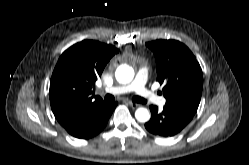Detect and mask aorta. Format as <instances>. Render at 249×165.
<instances>
[{
	"label": "aorta",
	"instance_id": "762f6f07",
	"mask_svg": "<svg viewBox=\"0 0 249 165\" xmlns=\"http://www.w3.org/2000/svg\"><path fill=\"white\" fill-rule=\"evenodd\" d=\"M116 78L120 83H129L134 78V70L128 65H121L116 70ZM135 117L139 122H147L150 119V113L146 108L140 107L135 112Z\"/></svg>",
	"mask_w": 249,
	"mask_h": 165
}]
</instances>
